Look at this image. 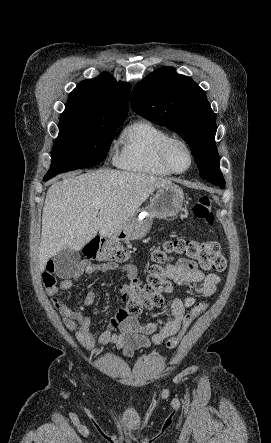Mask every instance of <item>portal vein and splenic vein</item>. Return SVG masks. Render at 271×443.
<instances>
[{"label":"portal vein and splenic vein","mask_w":271,"mask_h":443,"mask_svg":"<svg viewBox=\"0 0 271 443\" xmlns=\"http://www.w3.org/2000/svg\"><path fill=\"white\" fill-rule=\"evenodd\" d=\"M101 208H103V202H95L94 210H96V212H98V210H101Z\"/></svg>","instance_id":"18ae733b"}]
</instances>
